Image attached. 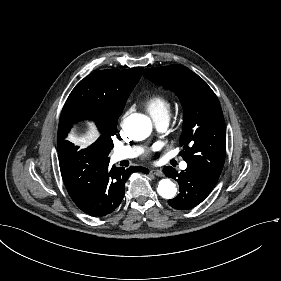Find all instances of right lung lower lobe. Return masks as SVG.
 <instances>
[{"instance_id":"1","label":"right lung lower lobe","mask_w":281,"mask_h":281,"mask_svg":"<svg viewBox=\"0 0 281 281\" xmlns=\"http://www.w3.org/2000/svg\"><path fill=\"white\" fill-rule=\"evenodd\" d=\"M63 181L74 203L85 213L104 216L121 203L125 182L134 171L148 173L144 167L117 168L109 166V157L97 149L79 150L70 142L58 145Z\"/></svg>"}]
</instances>
